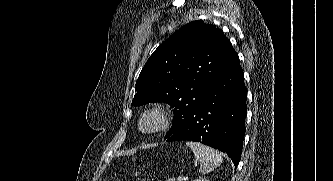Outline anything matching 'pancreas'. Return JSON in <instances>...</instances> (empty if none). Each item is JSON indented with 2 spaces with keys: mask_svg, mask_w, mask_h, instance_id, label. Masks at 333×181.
I'll return each instance as SVG.
<instances>
[{
  "mask_svg": "<svg viewBox=\"0 0 333 181\" xmlns=\"http://www.w3.org/2000/svg\"><path fill=\"white\" fill-rule=\"evenodd\" d=\"M167 181H178V180H176V178H170Z\"/></svg>",
  "mask_w": 333,
  "mask_h": 181,
  "instance_id": "obj_1",
  "label": "pancreas"
}]
</instances>
